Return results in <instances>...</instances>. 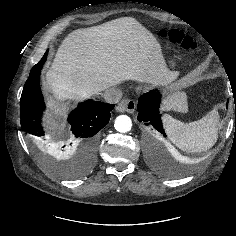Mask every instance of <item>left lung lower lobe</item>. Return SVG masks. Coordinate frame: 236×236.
I'll use <instances>...</instances> for the list:
<instances>
[{
    "label": "left lung lower lobe",
    "mask_w": 236,
    "mask_h": 236,
    "mask_svg": "<svg viewBox=\"0 0 236 236\" xmlns=\"http://www.w3.org/2000/svg\"><path fill=\"white\" fill-rule=\"evenodd\" d=\"M160 102L161 95L158 90L143 94L138 101V121L166 136L159 114Z\"/></svg>",
    "instance_id": "0a47b994"
}]
</instances>
